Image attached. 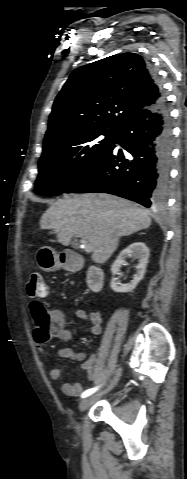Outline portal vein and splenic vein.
I'll list each match as a JSON object with an SVG mask.
<instances>
[{
	"instance_id": "1",
	"label": "portal vein and splenic vein",
	"mask_w": 187,
	"mask_h": 479,
	"mask_svg": "<svg viewBox=\"0 0 187 479\" xmlns=\"http://www.w3.org/2000/svg\"><path fill=\"white\" fill-rule=\"evenodd\" d=\"M81 243L86 252H92V246L88 241L82 239Z\"/></svg>"
}]
</instances>
